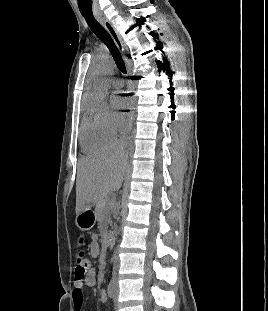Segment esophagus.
I'll return each instance as SVG.
<instances>
[{
  "label": "esophagus",
  "instance_id": "1",
  "mask_svg": "<svg viewBox=\"0 0 268 311\" xmlns=\"http://www.w3.org/2000/svg\"><path fill=\"white\" fill-rule=\"evenodd\" d=\"M96 18L102 24V26L108 31V33L110 34V36L114 40V42H115L116 46L118 47V49L120 50V52L122 54H124L125 50H126L125 44H124L121 36L119 35V33L116 31L114 26L111 24V22L103 15H97ZM125 61H126L127 65H129L126 58H125ZM132 95H133V102H138V95H139L138 92L136 90H133ZM135 104L136 103H134V106L131 108L129 116H128V125H129L130 129L132 128V124H133V121L135 119Z\"/></svg>",
  "mask_w": 268,
  "mask_h": 311
}]
</instances>
